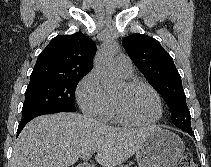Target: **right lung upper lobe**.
<instances>
[{"mask_svg":"<svg viewBox=\"0 0 211 167\" xmlns=\"http://www.w3.org/2000/svg\"><path fill=\"white\" fill-rule=\"evenodd\" d=\"M95 43L84 34L59 35L39 54L30 82L84 77L93 67Z\"/></svg>","mask_w":211,"mask_h":167,"instance_id":"cb5924a9","label":"right lung upper lobe"}]
</instances>
